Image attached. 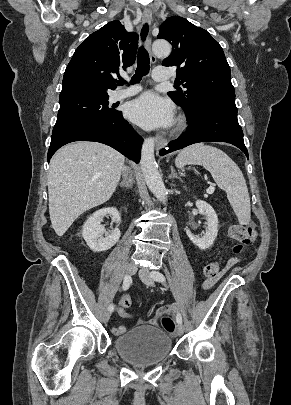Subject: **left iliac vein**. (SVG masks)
<instances>
[{"label": "left iliac vein", "instance_id": "1", "mask_svg": "<svg viewBox=\"0 0 291 405\" xmlns=\"http://www.w3.org/2000/svg\"><path fill=\"white\" fill-rule=\"evenodd\" d=\"M139 277L142 280L143 283H145L148 286H153L154 285V280L151 276V272L146 269L142 268L139 270ZM184 333V326L182 324H178L177 327V334L181 336Z\"/></svg>", "mask_w": 291, "mask_h": 405}]
</instances>
